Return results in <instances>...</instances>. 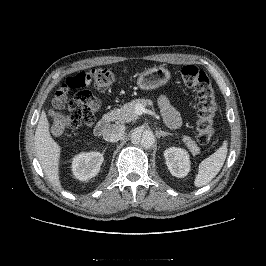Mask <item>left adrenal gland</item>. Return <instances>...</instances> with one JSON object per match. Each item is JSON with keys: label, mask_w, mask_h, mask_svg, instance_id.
Returning a JSON list of instances; mask_svg holds the SVG:
<instances>
[{"label": "left adrenal gland", "mask_w": 266, "mask_h": 266, "mask_svg": "<svg viewBox=\"0 0 266 266\" xmlns=\"http://www.w3.org/2000/svg\"><path fill=\"white\" fill-rule=\"evenodd\" d=\"M157 133H158V135L161 136V137H165V136L172 135V133H170V132H164V131H162V130L158 131Z\"/></svg>", "instance_id": "left-adrenal-gland-1"}]
</instances>
